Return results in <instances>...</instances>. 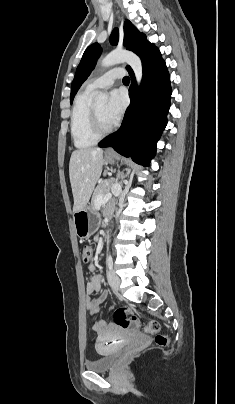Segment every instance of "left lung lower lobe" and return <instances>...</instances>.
I'll return each mask as SVG.
<instances>
[{
    "mask_svg": "<svg viewBox=\"0 0 235 404\" xmlns=\"http://www.w3.org/2000/svg\"><path fill=\"white\" fill-rule=\"evenodd\" d=\"M143 79L138 89L132 70L129 89L131 104L127 108L120 129L107 136L100 147L115 151L143 166L155 155L156 144L166 127L170 107V78L159 50L142 60Z\"/></svg>",
    "mask_w": 235,
    "mask_h": 404,
    "instance_id": "0a47b994",
    "label": "left lung lower lobe"
}]
</instances>
